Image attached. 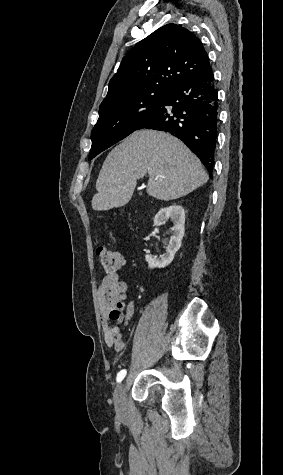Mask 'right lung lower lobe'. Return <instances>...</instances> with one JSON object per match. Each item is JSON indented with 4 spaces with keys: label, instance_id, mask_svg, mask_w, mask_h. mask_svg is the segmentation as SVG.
<instances>
[{
    "label": "right lung lower lobe",
    "instance_id": "right-lung-lower-lobe-1",
    "mask_svg": "<svg viewBox=\"0 0 283 475\" xmlns=\"http://www.w3.org/2000/svg\"><path fill=\"white\" fill-rule=\"evenodd\" d=\"M218 112V92L211 71L175 85L137 130H159L179 138L199 157L212 178Z\"/></svg>",
    "mask_w": 283,
    "mask_h": 475
}]
</instances>
